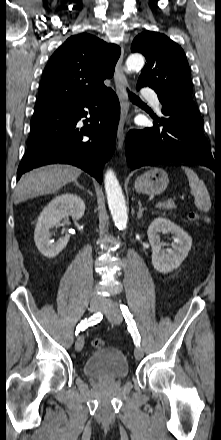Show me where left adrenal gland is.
<instances>
[{"label": "left adrenal gland", "instance_id": "1", "mask_svg": "<svg viewBox=\"0 0 221 440\" xmlns=\"http://www.w3.org/2000/svg\"><path fill=\"white\" fill-rule=\"evenodd\" d=\"M138 205H139V210H138V213H137V218L141 219V217L143 215V212H144V210H146V208L142 207L141 201H138Z\"/></svg>", "mask_w": 221, "mask_h": 440}]
</instances>
